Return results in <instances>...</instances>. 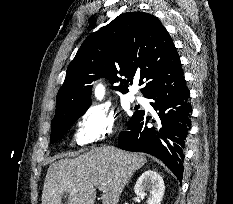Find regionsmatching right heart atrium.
<instances>
[{
	"mask_svg": "<svg viewBox=\"0 0 233 204\" xmlns=\"http://www.w3.org/2000/svg\"><path fill=\"white\" fill-rule=\"evenodd\" d=\"M117 115L109 106L101 104L87 108L81 115L76 131V142L88 145L105 140L116 130Z\"/></svg>",
	"mask_w": 233,
	"mask_h": 204,
	"instance_id": "1",
	"label": "right heart atrium"
}]
</instances>
